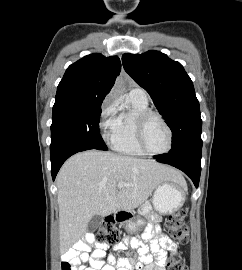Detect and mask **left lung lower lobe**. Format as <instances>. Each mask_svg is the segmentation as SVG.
I'll list each match as a JSON object with an SVG mask.
<instances>
[{
    "instance_id": "left-lung-lower-lobe-1",
    "label": "left lung lower lobe",
    "mask_w": 242,
    "mask_h": 270,
    "mask_svg": "<svg viewBox=\"0 0 242 270\" xmlns=\"http://www.w3.org/2000/svg\"><path fill=\"white\" fill-rule=\"evenodd\" d=\"M201 153L202 146L189 148L181 153L174 155L154 156L156 161L172 165L185 172L198 187L201 173Z\"/></svg>"
}]
</instances>
